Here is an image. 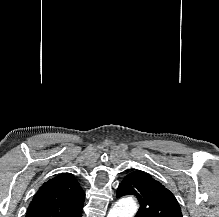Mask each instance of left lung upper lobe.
I'll list each match as a JSON object with an SVG mask.
<instances>
[{"label":"left lung upper lobe","instance_id":"1","mask_svg":"<svg viewBox=\"0 0 219 217\" xmlns=\"http://www.w3.org/2000/svg\"><path fill=\"white\" fill-rule=\"evenodd\" d=\"M124 195L137 197L140 208L135 217H182L172 192L145 172L136 170L123 179L116 197Z\"/></svg>","mask_w":219,"mask_h":217}]
</instances>
